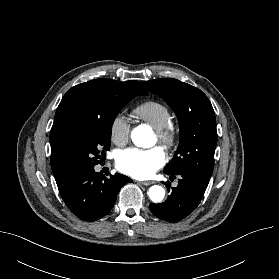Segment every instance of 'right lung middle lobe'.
Wrapping results in <instances>:
<instances>
[{
	"label": "right lung middle lobe",
	"instance_id": "obj_1",
	"mask_svg": "<svg viewBox=\"0 0 279 279\" xmlns=\"http://www.w3.org/2000/svg\"><path fill=\"white\" fill-rule=\"evenodd\" d=\"M137 94L113 95L104 103L99 115L71 125L67 131L65 151L73 172L94 167L110 149L111 127L120 109Z\"/></svg>",
	"mask_w": 279,
	"mask_h": 279
}]
</instances>
